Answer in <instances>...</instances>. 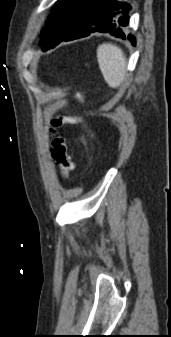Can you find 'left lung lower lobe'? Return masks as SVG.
<instances>
[{
  "label": "left lung lower lobe",
  "mask_w": 171,
  "mask_h": 337,
  "mask_svg": "<svg viewBox=\"0 0 171 337\" xmlns=\"http://www.w3.org/2000/svg\"><path fill=\"white\" fill-rule=\"evenodd\" d=\"M130 9L129 4L118 3L117 0H86L76 25L61 41L86 37L94 32H109L125 39L123 28L129 23ZM127 39L135 46L136 39L133 35H128Z\"/></svg>",
  "instance_id": "0a47b994"
}]
</instances>
